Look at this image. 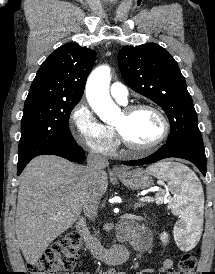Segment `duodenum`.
<instances>
[{"label":"duodenum","instance_id":"duodenum-1","mask_svg":"<svg viewBox=\"0 0 215 274\" xmlns=\"http://www.w3.org/2000/svg\"><path fill=\"white\" fill-rule=\"evenodd\" d=\"M76 230L83 240L85 248L97 260H100L108 265H120L128 260L130 252L125 245L116 244L109 249L103 247L91 236L84 218H80L77 221Z\"/></svg>","mask_w":215,"mask_h":274}]
</instances>
